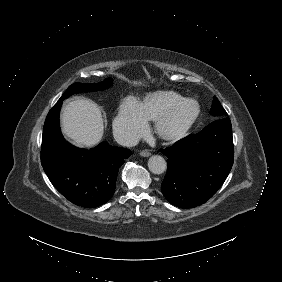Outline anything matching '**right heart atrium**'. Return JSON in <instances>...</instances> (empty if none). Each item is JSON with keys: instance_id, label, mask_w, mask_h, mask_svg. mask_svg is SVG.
<instances>
[{"instance_id": "right-heart-atrium-1", "label": "right heart atrium", "mask_w": 282, "mask_h": 282, "mask_svg": "<svg viewBox=\"0 0 282 282\" xmlns=\"http://www.w3.org/2000/svg\"><path fill=\"white\" fill-rule=\"evenodd\" d=\"M148 127V119L143 113L140 104L133 100H126L119 109L113 122L115 135L124 141L133 142Z\"/></svg>"}]
</instances>
